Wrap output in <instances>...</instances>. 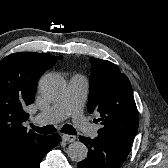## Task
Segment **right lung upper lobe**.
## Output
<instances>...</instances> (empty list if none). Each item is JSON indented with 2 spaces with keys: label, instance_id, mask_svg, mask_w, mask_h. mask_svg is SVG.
<instances>
[{
  "label": "right lung upper lobe",
  "instance_id": "right-lung-upper-lobe-1",
  "mask_svg": "<svg viewBox=\"0 0 168 168\" xmlns=\"http://www.w3.org/2000/svg\"><path fill=\"white\" fill-rule=\"evenodd\" d=\"M62 56L18 52L0 61V168H11L16 159L46 136L27 131L23 110L33 103L40 76Z\"/></svg>",
  "mask_w": 168,
  "mask_h": 168
}]
</instances>
